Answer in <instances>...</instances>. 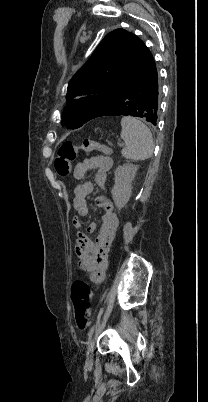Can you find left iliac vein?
Returning a JSON list of instances; mask_svg holds the SVG:
<instances>
[{
    "mask_svg": "<svg viewBox=\"0 0 208 402\" xmlns=\"http://www.w3.org/2000/svg\"><path fill=\"white\" fill-rule=\"evenodd\" d=\"M94 346H95V337L93 336V338L90 341V344L88 346V349H87V354H86V364L87 365H92V363H93Z\"/></svg>",
    "mask_w": 208,
    "mask_h": 402,
    "instance_id": "obj_1",
    "label": "left iliac vein"
}]
</instances>
